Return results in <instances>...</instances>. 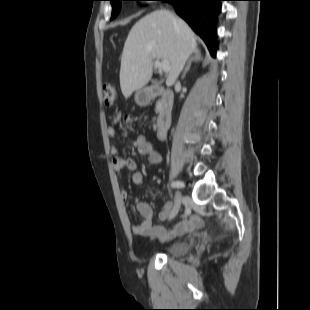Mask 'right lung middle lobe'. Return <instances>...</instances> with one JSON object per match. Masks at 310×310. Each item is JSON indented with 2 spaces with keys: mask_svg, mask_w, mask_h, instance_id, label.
I'll use <instances>...</instances> for the list:
<instances>
[{
  "mask_svg": "<svg viewBox=\"0 0 310 310\" xmlns=\"http://www.w3.org/2000/svg\"><path fill=\"white\" fill-rule=\"evenodd\" d=\"M112 5V16L111 20H113L119 13L121 8V2L126 0H109ZM133 1H147V0H133Z\"/></svg>",
  "mask_w": 310,
  "mask_h": 310,
  "instance_id": "right-lung-middle-lobe-1",
  "label": "right lung middle lobe"
}]
</instances>
